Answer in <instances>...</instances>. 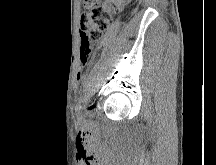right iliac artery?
I'll list each match as a JSON object with an SVG mask.
<instances>
[{
	"instance_id": "82829eb1",
	"label": "right iliac artery",
	"mask_w": 216,
	"mask_h": 165,
	"mask_svg": "<svg viewBox=\"0 0 216 165\" xmlns=\"http://www.w3.org/2000/svg\"><path fill=\"white\" fill-rule=\"evenodd\" d=\"M80 110H81V105H77V107H76V111L79 113Z\"/></svg>"
}]
</instances>
